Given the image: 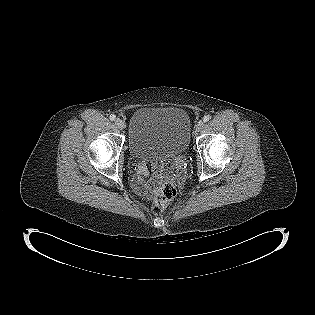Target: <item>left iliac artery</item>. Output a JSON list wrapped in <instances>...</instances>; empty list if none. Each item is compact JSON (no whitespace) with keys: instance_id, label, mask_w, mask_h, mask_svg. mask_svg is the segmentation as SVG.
I'll list each match as a JSON object with an SVG mask.
<instances>
[{"instance_id":"obj_1","label":"left iliac artery","mask_w":315,"mask_h":315,"mask_svg":"<svg viewBox=\"0 0 315 315\" xmlns=\"http://www.w3.org/2000/svg\"><path fill=\"white\" fill-rule=\"evenodd\" d=\"M210 119H211V116H210V115H205V116L203 117V121H204V122H208Z\"/></svg>"}]
</instances>
